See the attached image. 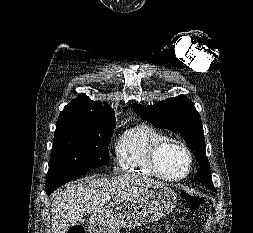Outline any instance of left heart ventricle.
<instances>
[{"label": "left heart ventricle", "mask_w": 253, "mask_h": 233, "mask_svg": "<svg viewBox=\"0 0 253 233\" xmlns=\"http://www.w3.org/2000/svg\"><path fill=\"white\" fill-rule=\"evenodd\" d=\"M187 166L188 159L182 150L171 149L162 157V167L167 175H181L186 171Z\"/></svg>", "instance_id": "b2bd125f"}]
</instances>
